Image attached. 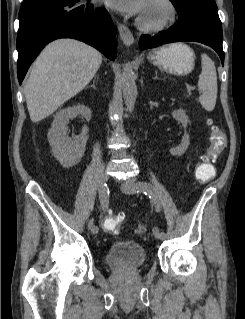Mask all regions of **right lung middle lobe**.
I'll return each mask as SVG.
<instances>
[{
	"label": "right lung middle lobe",
	"instance_id": "dd1d6c3e",
	"mask_svg": "<svg viewBox=\"0 0 245 319\" xmlns=\"http://www.w3.org/2000/svg\"><path fill=\"white\" fill-rule=\"evenodd\" d=\"M28 1H32V0H24V2H28Z\"/></svg>",
	"mask_w": 245,
	"mask_h": 319
}]
</instances>
